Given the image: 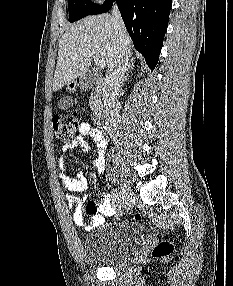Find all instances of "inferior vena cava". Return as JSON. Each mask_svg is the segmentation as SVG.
Wrapping results in <instances>:
<instances>
[{"label": "inferior vena cava", "instance_id": "inferior-vena-cava-1", "mask_svg": "<svg viewBox=\"0 0 233 286\" xmlns=\"http://www.w3.org/2000/svg\"><path fill=\"white\" fill-rule=\"evenodd\" d=\"M112 16L114 29L118 32V37L116 39L117 49L115 52L114 61L107 72L103 91L106 106L105 113L107 117L106 126L110 131L115 130L118 125V93L122 87L129 60L128 47L124 43V38L122 35L125 27L116 4L113 6Z\"/></svg>", "mask_w": 233, "mask_h": 286}]
</instances>
